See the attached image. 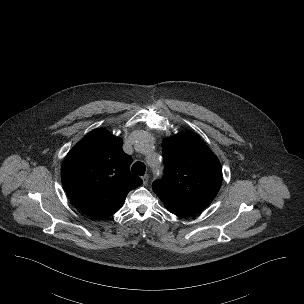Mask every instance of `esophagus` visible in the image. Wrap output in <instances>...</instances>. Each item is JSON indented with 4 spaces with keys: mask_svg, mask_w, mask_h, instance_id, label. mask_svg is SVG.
Listing matches in <instances>:
<instances>
[{
    "mask_svg": "<svg viewBox=\"0 0 304 304\" xmlns=\"http://www.w3.org/2000/svg\"><path fill=\"white\" fill-rule=\"evenodd\" d=\"M142 180H143V184H144V185H147L148 180H149L148 174H145L144 176H142Z\"/></svg>",
    "mask_w": 304,
    "mask_h": 304,
    "instance_id": "34e87169",
    "label": "esophagus"
}]
</instances>
